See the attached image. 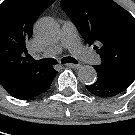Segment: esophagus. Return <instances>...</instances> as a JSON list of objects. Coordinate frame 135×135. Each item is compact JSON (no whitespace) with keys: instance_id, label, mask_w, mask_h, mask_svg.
I'll return each instance as SVG.
<instances>
[{"instance_id":"esophagus-1","label":"esophagus","mask_w":135,"mask_h":135,"mask_svg":"<svg viewBox=\"0 0 135 135\" xmlns=\"http://www.w3.org/2000/svg\"><path fill=\"white\" fill-rule=\"evenodd\" d=\"M65 66L69 67V68H74V69H79L81 67L80 64H65Z\"/></svg>"}]
</instances>
